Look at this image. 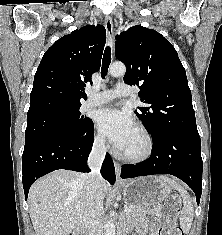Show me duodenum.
<instances>
[{"instance_id": "410a0bca", "label": "duodenum", "mask_w": 222, "mask_h": 235, "mask_svg": "<svg viewBox=\"0 0 222 235\" xmlns=\"http://www.w3.org/2000/svg\"><path fill=\"white\" fill-rule=\"evenodd\" d=\"M72 235H86V232L82 225H78L75 227Z\"/></svg>"}]
</instances>
